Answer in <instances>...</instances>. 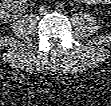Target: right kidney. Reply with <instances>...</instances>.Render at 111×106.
Returning a JSON list of instances; mask_svg holds the SVG:
<instances>
[{"instance_id":"right-kidney-1","label":"right kidney","mask_w":111,"mask_h":106,"mask_svg":"<svg viewBox=\"0 0 111 106\" xmlns=\"http://www.w3.org/2000/svg\"><path fill=\"white\" fill-rule=\"evenodd\" d=\"M11 11H13L11 4L9 2H3L1 6V17L7 18L8 20L16 19L17 15L14 12L13 14H10Z\"/></svg>"}]
</instances>
